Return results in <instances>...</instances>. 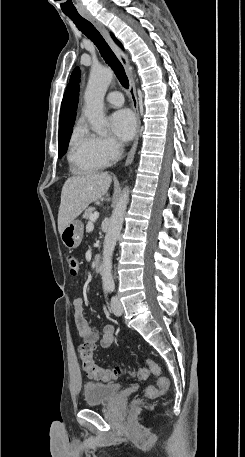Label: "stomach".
Listing matches in <instances>:
<instances>
[{"label":"stomach","instance_id":"stomach-1","mask_svg":"<svg viewBox=\"0 0 245 457\" xmlns=\"http://www.w3.org/2000/svg\"><path fill=\"white\" fill-rule=\"evenodd\" d=\"M84 224L81 220H72L61 233V241L69 251L77 249L83 239Z\"/></svg>","mask_w":245,"mask_h":457}]
</instances>
